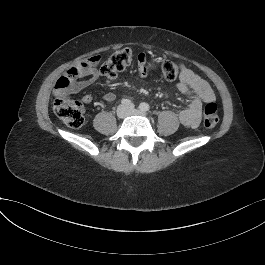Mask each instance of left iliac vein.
Listing matches in <instances>:
<instances>
[{"label": "left iliac vein", "mask_w": 265, "mask_h": 265, "mask_svg": "<svg viewBox=\"0 0 265 265\" xmlns=\"http://www.w3.org/2000/svg\"><path fill=\"white\" fill-rule=\"evenodd\" d=\"M128 115L146 116V113L137 109H128Z\"/></svg>", "instance_id": "4c4485c4"}]
</instances>
